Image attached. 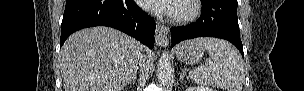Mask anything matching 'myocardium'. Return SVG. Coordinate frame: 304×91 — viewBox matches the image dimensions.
Returning a JSON list of instances; mask_svg holds the SVG:
<instances>
[{"label":"myocardium","instance_id":"f54148a6","mask_svg":"<svg viewBox=\"0 0 304 91\" xmlns=\"http://www.w3.org/2000/svg\"><path fill=\"white\" fill-rule=\"evenodd\" d=\"M179 2L188 4L189 9L185 13L171 15L173 22L188 23L195 20L200 15L201 5L199 0H180Z\"/></svg>","mask_w":304,"mask_h":91}]
</instances>
